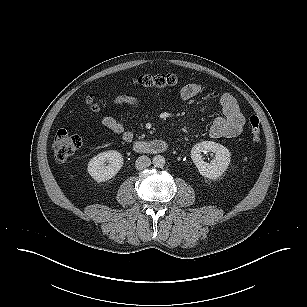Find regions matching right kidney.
<instances>
[{
    "mask_svg": "<svg viewBox=\"0 0 307 307\" xmlns=\"http://www.w3.org/2000/svg\"><path fill=\"white\" fill-rule=\"evenodd\" d=\"M108 162L106 166L104 163ZM123 166L122 155L114 150L105 151L94 156L88 163V173L97 182L113 178Z\"/></svg>",
    "mask_w": 307,
    "mask_h": 307,
    "instance_id": "1",
    "label": "right kidney"
}]
</instances>
